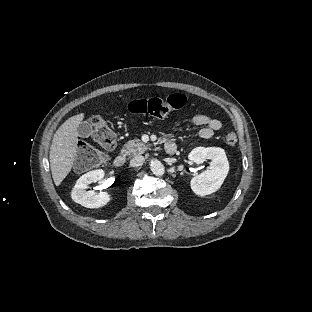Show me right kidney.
Wrapping results in <instances>:
<instances>
[{
    "mask_svg": "<svg viewBox=\"0 0 312 312\" xmlns=\"http://www.w3.org/2000/svg\"><path fill=\"white\" fill-rule=\"evenodd\" d=\"M103 177L104 171L102 169L93 170L82 175L72 189L71 197L73 201L87 208H99L106 205L110 201L107 192L97 193L94 190H86L89 184L95 183Z\"/></svg>",
    "mask_w": 312,
    "mask_h": 312,
    "instance_id": "1",
    "label": "right kidney"
}]
</instances>
